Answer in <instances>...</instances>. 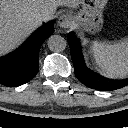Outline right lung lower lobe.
<instances>
[{"label":"right lung lower lobe","mask_w":128,"mask_h":128,"mask_svg":"<svg viewBox=\"0 0 128 128\" xmlns=\"http://www.w3.org/2000/svg\"><path fill=\"white\" fill-rule=\"evenodd\" d=\"M54 32L53 22L36 31L17 51L0 58V84L16 87L30 81L39 70V50Z\"/></svg>","instance_id":"98d812e1"}]
</instances>
